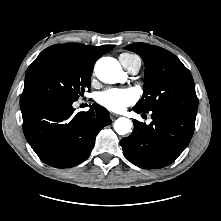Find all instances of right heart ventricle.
Segmentation results:
<instances>
[{
	"label": "right heart ventricle",
	"instance_id": "obj_1",
	"mask_svg": "<svg viewBox=\"0 0 221 221\" xmlns=\"http://www.w3.org/2000/svg\"><path fill=\"white\" fill-rule=\"evenodd\" d=\"M119 58H124V59H133V58H137V56L133 55V54H129V53H123L120 55Z\"/></svg>",
	"mask_w": 221,
	"mask_h": 221
}]
</instances>
